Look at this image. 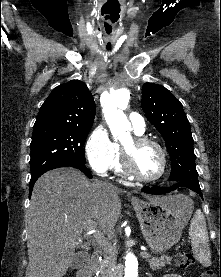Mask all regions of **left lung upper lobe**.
Segmentation results:
<instances>
[{
	"label": "left lung upper lobe",
	"instance_id": "obj_1",
	"mask_svg": "<svg viewBox=\"0 0 221 277\" xmlns=\"http://www.w3.org/2000/svg\"><path fill=\"white\" fill-rule=\"evenodd\" d=\"M141 106L166 142L172 164L169 181L199 183L190 124L181 102L165 87L145 83Z\"/></svg>",
	"mask_w": 221,
	"mask_h": 277
}]
</instances>
